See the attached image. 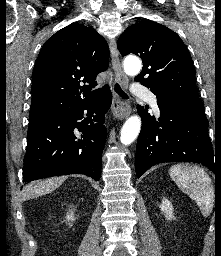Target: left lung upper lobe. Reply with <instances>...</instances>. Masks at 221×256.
Here are the masks:
<instances>
[{"label": "left lung upper lobe", "instance_id": "5c2ea615", "mask_svg": "<svg viewBox=\"0 0 221 256\" xmlns=\"http://www.w3.org/2000/svg\"><path fill=\"white\" fill-rule=\"evenodd\" d=\"M118 48L123 56L133 53L142 58L143 69L135 81L156 96L200 101L190 53L174 31L159 23L142 20L121 34Z\"/></svg>", "mask_w": 221, "mask_h": 256}]
</instances>
